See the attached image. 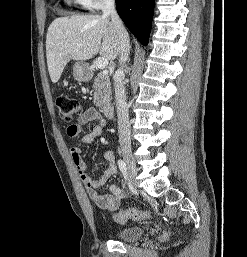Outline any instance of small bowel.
Wrapping results in <instances>:
<instances>
[{"label":"small bowel","mask_w":247,"mask_h":257,"mask_svg":"<svg viewBox=\"0 0 247 257\" xmlns=\"http://www.w3.org/2000/svg\"><path fill=\"white\" fill-rule=\"evenodd\" d=\"M98 119H100V116L95 108L90 107L85 109L78 116L77 122L67 127V135L72 139H78L81 145L90 144L95 137L102 133L103 123L95 126L88 134H82V131L86 125ZM70 154L72 161L78 170L79 176L86 187L90 199L103 210H116L119 207L121 200L124 198V192L122 189L113 184L110 186L109 195H102L98 192V189L103 186L114 174H116L117 167L113 152L106 151L104 153L107 167L97 178H91L88 175L87 165L82 158V150L79 146L72 147L70 149Z\"/></svg>","instance_id":"1"}]
</instances>
